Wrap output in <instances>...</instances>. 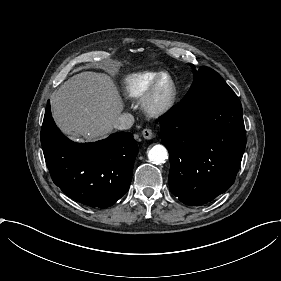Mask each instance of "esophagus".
<instances>
[{
    "label": "esophagus",
    "mask_w": 281,
    "mask_h": 281,
    "mask_svg": "<svg viewBox=\"0 0 281 281\" xmlns=\"http://www.w3.org/2000/svg\"><path fill=\"white\" fill-rule=\"evenodd\" d=\"M142 135L147 140H151L153 138V133L150 129H143Z\"/></svg>",
    "instance_id": "obj_1"
}]
</instances>
